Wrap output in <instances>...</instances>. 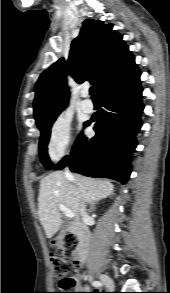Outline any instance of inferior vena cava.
Segmentation results:
<instances>
[{
	"label": "inferior vena cava",
	"instance_id": "obj_1",
	"mask_svg": "<svg viewBox=\"0 0 170 293\" xmlns=\"http://www.w3.org/2000/svg\"><path fill=\"white\" fill-rule=\"evenodd\" d=\"M65 173L68 177L72 178V174L69 172L68 169L66 170ZM80 212H81L82 218L85 219L87 217V212H86L84 204L81 205Z\"/></svg>",
	"mask_w": 170,
	"mask_h": 293
}]
</instances>
